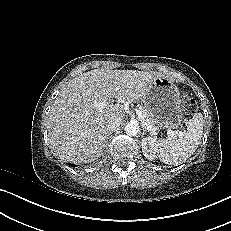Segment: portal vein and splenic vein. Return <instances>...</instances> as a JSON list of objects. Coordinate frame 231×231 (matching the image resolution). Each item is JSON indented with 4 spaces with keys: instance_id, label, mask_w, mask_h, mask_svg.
Listing matches in <instances>:
<instances>
[{
    "instance_id": "portal-vein-and-splenic-vein-1",
    "label": "portal vein and splenic vein",
    "mask_w": 231,
    "mask_h": 231,
    "mask_svg": "<svg viewBox=\"0 0 231 231\" xmlns=\"http://www.w3.org/2000/svg\"><path fill=\"white\" fill-rule=\"evenodd\" d=\"M94 106L99 110L102 111L103 109H105L108 106V103L106 101H95L94 102ZM136 114L139 118V120L141 121V124L149 131H156L157 128L155 126L149 125L146 121H145V115L142 113V111L140 109H136ZM167 133L169 135H176L177 132L171 130L170 128L167 129Z\"/></svg>"
}]
</instances>
